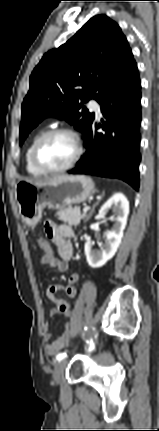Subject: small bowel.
Returning a JSON list of instances; mask_svg holds the SVG:
<instances>
[{
    "label": "small bowel",
    "instance_id": "small-bowel-1",
    "mask_svg": "<svg viewBox=\"0 0 159 431\" xmlns=\"http://www.w3.org/2000/svg\"><path fill=\"white\" fill-rule=\"evenodd\" d=\"M45 233L49 240L53 243L57 256L53 251V256L47 258L43 253L41 258V264L47 267L55 268L58 272L64 273L68 269V262L72 257V246L68 241V238L72 237L74 232L73 229L68 225H57L53 221H46ZM39 244V241H38ZM79 280V275L76 273L71 274L65 285L61 284H50L46 288V296L52 301L55 306L49 311L50 316L62 314L65 316V311L71 312L70 304L63 298L58 296L59 292L64 291L69 298H75L77 295V289L75 284ZM70 333L68 330L64 331L55 341L49 343L51 339V333L49 330V324L46 322L43 324V339L47 342L45 346V352L49 356H55L62 349L67 346Z\"/></svg>",
    "mask_w": 159,
    "mask_h": 431
}]
</instances>
